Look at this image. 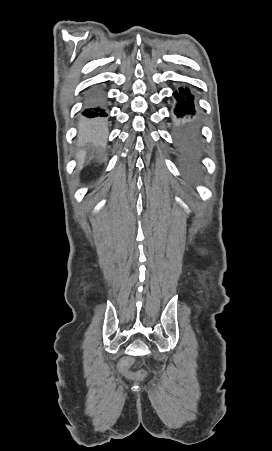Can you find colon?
Instances as JSON below:
<instances>
[{
  "instance_id": "5ec220e1",
  "label": "colon",
  "mask_w": 272,
  "mask_h": 451,
  "mask_svg": "<svg viewBox=\"0 0 272 451\" xmlns=\"http://www.w3.org/2000/svg\"><path fill=\"white\" fill-rule=\"evenodd\" d=\"M130 364V361L128 358H119L118 365H119V371L122 374H126L129 371L128 365Z\"/></svg>"
}]
</instances>
